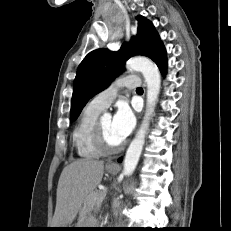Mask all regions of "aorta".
I'll list each match as a JSON object with an SVG mask.
<instances>
[{
    "instance_id": "obj_1",
    "label": "aorta",
    "mask_w": 231,
    "mask_h": 231,
    "mask_svg": "<svg viewBox=\"0 0 231 231\" xmlns=\"http://www.w3.org/2000/svg\"><path fill=\"white\" fill-rule=\"evenodd\" d=\"M126 67L130 71L141 72L147 84V107L145 116L139 130L127 149L124 159L123 174L129 176L134 172L138 164L145 143V135L149 126L150 116L154 111V106L160 92L161 76L158 67L146 57L131 58L127 62Z\"/></svg>"
}]
</instances>
